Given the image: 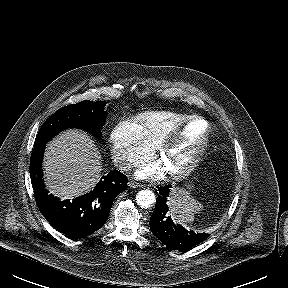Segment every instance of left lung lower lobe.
Masks as SVG:
<instances>
[{
  "instance_id": "1",
  "label": "left lung lower lobe",
  "mask_w": 288,
  "mask_h": 288,
  "mask_svg": "<svg viewBox=\"0 0 288 288\" xmlns=\"http://www.w3.org/2000/svg\"><path fill=\"white\" fill-rule=\"evenodd\" d=\"M171 186L160 187L155 209L150 218L152 233L167 247L173 250H187L203 242L209 234L194 233L175 224L169 217L167 198Z\"/></svg>"
}]
</instances>
